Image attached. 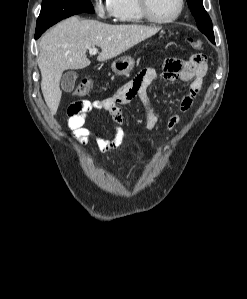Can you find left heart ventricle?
Masks as SVG:
<instances>
[{
  "label": "left heart ventricle",
  "mask_w": 247,
  "mask_h": 299,
  "mask_svg": "<svg viewBox=\"0 0 247 299\" xmlns=\"http://www.w3.org/2000/svg\"><path fill=\"white\" fill-rule=\"evenodd\" d=\"M151 13L159 19L172 17L178 9V0H148Z\"/></svg>",
  "instance_id": "left-heart-ventricle-1"
}]
</instances>
